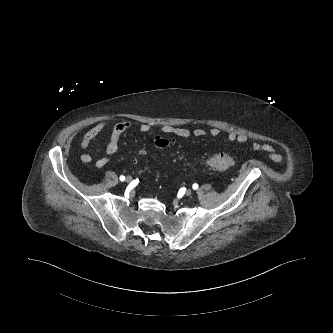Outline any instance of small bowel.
I'll return each instance as SVG.
<instances>
[{
  "instance_id": "c3829d8e",
  "label": "small bowel",
  "mask_w": 333,
  "mask_h": 333,
  "mask_svg": "<svg viewBox=\"0 0 333 333\" xmlns=\"http://www.w3.org/2000/svg\"><path fill=\"white\" fill-rule=\"evenodd\" d=\"M108 126L107 121H100L96 123L93 127H91L83 136L81 141V146L84 150H88L91 141L99 136ZM133 127V124L130 121H122L116 123L111 131L109 142L106 146L105 154L101 158L96 161V168L103 169L112 156L116 154L119 148L120 138L122 134ZM150 130V125L148 124H141L139 126V131L141 133H147ZM162 133L168 136H174L177 138L187 139L190 136L195 137H204L209 134L211 137H217L220 135V129L213 127L208 132L202 128H194L189 129L186 127H176L171 125H165L162 127ZM227 141L230 143H245L248 141V137L244 134H239L236 132H229L227 134ZM165 139L164 137H157L156 140ZM252 147L256 151H262L269 155V157L275 161L280 162L282 161V155L270 144H262L259 142H253ZM144 152V150H141ZM80 160L83 163H89L92 161V156L90 153L85 152L80 156Z\"/></svg>"
}]
</instances>
